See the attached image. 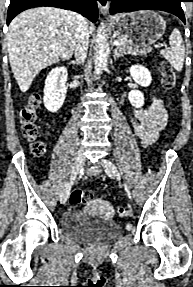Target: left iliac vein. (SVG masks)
I'll return each mask as SVG.
<instances>
[{
	"mask_svg": "<svg viewBox=\"0 0 193 287\" xmlns=\"http://www.w3.org/2000/svg\"><path fill=\"white\" fill-rule=\"evenodd\" d=\"M101 166L103 167L104 171L106 172V174L113 178V177H119L118 171L116 166L109 160L107 159H102L100 162ZM124 188L126 190V193L128 195L129 198H131V193L130 190L127 186V184L124 183Z\"/></svg>",
	"mask_w": 193,
	"mask_h": 287,
	"instance_id": "obj_1",
	"label": "left iliac vein"
}]
</instances>
